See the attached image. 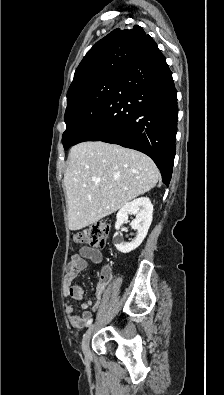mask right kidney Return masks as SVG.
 I'll use <instances>...</instances> for the list:
<instances>
[{
  "label": "right kidney",
  "mask_w": 224,
  "mask_h": 395,
  "mask_svg": "<svg viewBox=\"0 0 224 395\" xmlns=\"http://www.w3.org/2000/svg\"><path fill=\"white\" fill-rule=\"evenodd\" d=\"M153 205L149 198L141 197L124 205L116 216L115 229L117 232L113 236L115 247L121 253H129L135 250L143 242L152 222ZM129 214H135L136 218L132 221L131 227L137 230L136 237L131 242H123L118 230L127 221Z\"/></svg>",
  "instance_id": "1"
}]
</instances>
